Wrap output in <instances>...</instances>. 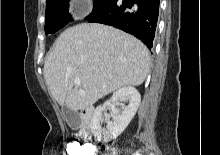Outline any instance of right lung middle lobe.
<instances>
[{"mask_svg":"<svg viewBox=\"0 0 220 155\" xmlns=\"http://www.w3.org/2000/svg\"><path fill=\"white\" fill-rule=\"evenodd\" d=\"M112 2L113 0H94L93 11L88 17L99 13L100 11L108 7ZM68 6L69 0H53L50 3L46 4V34L55 33L56 31L64 27L69 21H71V16L68 13Z\"/></svg>","mask_w":220,"mask_h":155,"instance_id":"dd1d6c3e","label":"right lung middle lobe"}]
</instances>
